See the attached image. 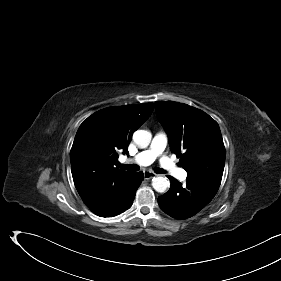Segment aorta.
<instances>
[{"instance_id": "1", "label": "aorta", "mask_w": 281, "mask_h": 281, "mask_svg": "<svg viewBox=\"0 0 281 281\" xmlns=\"http://www.w3.org/2000/svg\"><path fill=\"white\" fill-rule=\"evenodd\" d=\"M152 134L147 130H137L133 134V140L140 148H146L151 142ZM152 186L155 191L163 193L169 188L170 182L166 177L158 176L152 179Z\"/></svg>"}]
</instances>
